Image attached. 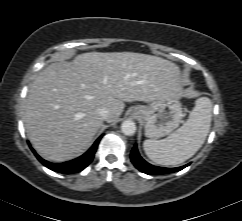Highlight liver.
<instances>
[{
    "mask_svg": "<svg viewBox=\"0 0 242 221\" xmlns=\"http://www.w3.org/2000/svg\"><path fill=\"white\" fill-rule=\"evenodd\" d=\"M180 67L147 54L89 52L71 62L50 64L30 86L23 120L34 149L46 160L64 162L82 155L103 126L122 114L125 103H152L182 95Z\"/></svg>",
    "mask_w": 242,
    "mask_h": 221,
    "instance_id": "liver-1",
    "label": "liver"
}]
</instances>
